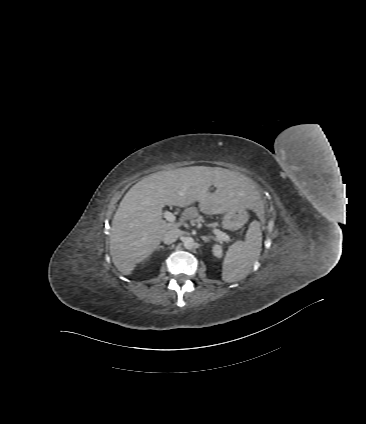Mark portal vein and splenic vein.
Here are the masks:
<instances>
[{
	"label": "portal vein and splenic vein",
	"instance_id": "obj_1",
	"mask_svg": "<svg viewBox=\"0 0 366 424\" xmlns=\"http://www.w3.org/2000/svg\"><path fill=\"white\" fill-rule=\"evenodd\" d=\"M163 215H164L165 219H166L168 222H175V221H176V216H175V214H174V213H172V212H170V211H165ZM214 234H215L217 237H219V238H221L222 240H224V241H229V240H230L229 235H227L226 233L221 232V231H219V230H214Z\"/></svg>",
	"mask_w": 366,
	"mask_h": 424
}]
</instances>
